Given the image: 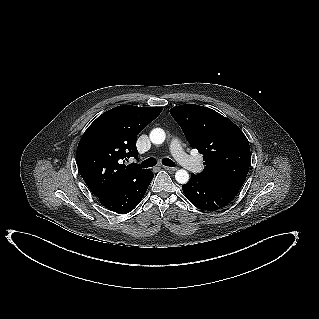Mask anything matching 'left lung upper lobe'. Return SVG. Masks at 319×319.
<instances>
[{
    "label": "left lung upper lobe",
    "instance_id": "obj_1",
    "mask_svg": "<svg viewBox=\"0 0 319 319\" xmlns=\"http://www.w3.org/2000/svg\"><path fill=\"white\" fill-rule=\"evenodd\" d=\"M193 148L203 154L205 168L197 176L235 194L243 186L251 162L249 142L232 121L195 104L170 109Z\"/></svg>",
    "mask_w": 319,
    "mask_h": 319
}]
</instances>
